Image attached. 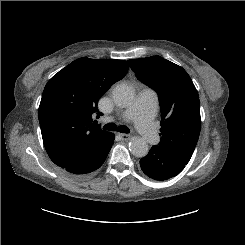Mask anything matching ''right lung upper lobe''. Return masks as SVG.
<instances>
[{"label":"right lung upper lobe","mask_w":245,"mask_h":245,"mask_svg":"<svg viewBox=\"0 0 245 245\" xmlns=\"http://www.w3.org/2000/svg\"><path fill=\"white\" fill-rule=\"evenodd\" d=\"M127 71L128 64L124 60L83 57L48 81L38 115L44 146L56 165L64 168L76 162L107 134L92 123L98 111L96 106L111 85L122 79Z\"/></svg>","instance_id":"obj_1"}]
</instances>
